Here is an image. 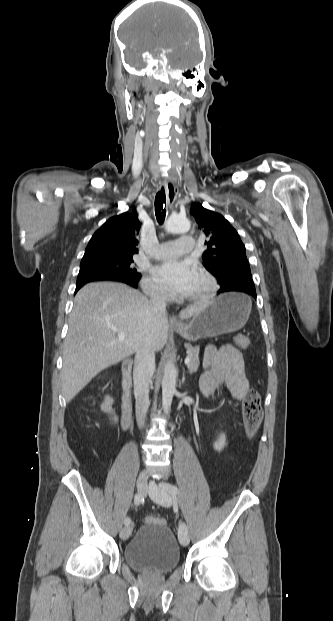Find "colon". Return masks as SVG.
Instances as JSON below:
<instances>
[{
    "instance_id": "obj_1",
    "label": "colon",
    "mask_w": 333,
    "mask_h": 621,
    "mask_svg": "<svg viewBox=\"0 0 333 621\" xmlns=\"http://www.w3.org/2000/svg\"><path fill=\"white\" fill-rule=\"evenodd\" d=\"M236 344L239 348L244 349L248 347L249 341L246 337L239 336L236 338ZM242 412L245 429L249 435H253L260 426L263 417L261 397L259 392L255 389H249L245 394L242 403ZM144 522L146 524H165L164 519L153 516H146Z\"/></svg>"
}]
</instances>
